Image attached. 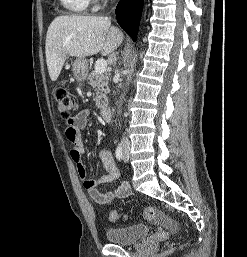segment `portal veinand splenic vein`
Wrapping results in <instances>:
<instances>
[{"mask_svg": "<svg viewBox=\"0 0 247 257\" xmlns=\"http://www.w3.org/2000/svg\"><path fill=\"white\" fill-rule=\"evenodd\" d=\"M107 62L103 59L97 60L95 63V72L98 74H102L106 71Z\"/></svg>", "mask_w": 247, "mask_h": 257, "instance_id": "1", "label": "portal vein and splenic vein"}]
</instances>
